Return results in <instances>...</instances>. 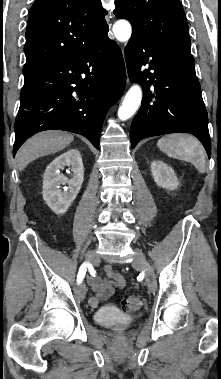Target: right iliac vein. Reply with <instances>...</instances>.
I'll list each match as a JSON object with an SVG mask.
<instances>
[{
  "instance_id": "1",
  "label": "right iliac vein",
  "mask_w": 221,
  "mask_h": 379,
  "mask_svg": "<svg viewBox=\"0 0 221 379\" xmlns=\"http://www.w3.org/2000/svg\"><path fill=\"white\" fill-rule=\"evenodd\" d=\"M97 258H98L97 253L94 250L89 251L86 255V260H88L92 263H95L97 261ZM75 292H76V296L78 297V299L83 300L86 296L85 285L79 284L76 287Z\"/></svg>"
}]
</instances>
